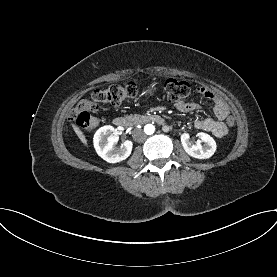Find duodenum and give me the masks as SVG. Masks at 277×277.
I'll list each match as a JSON object with an SVG mask.
<instances>
[{"instance_id":"1","label":"duodenum","mask_w":277,"mask_h":277,"mask_svg":"<svg viewBox=\"0 0 277 277\" xmlns=\"http://www.w3.org/2000/svg\"><path fill=\"white\" fill-rule=\"evenodd\" d=\"M145 123H157V124H160L165 131L170 130V126L165 123L164 119L155 114L140 115L133 118L116 117L113 119V124L116 127H120V128H126L136 124H145Z\"/></svg>"}]
</instances>
